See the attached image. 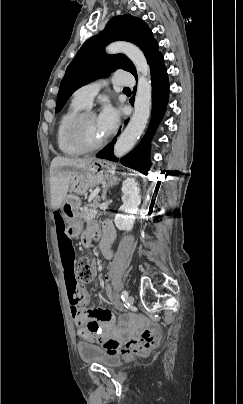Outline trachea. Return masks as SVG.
<instances>
[{
	"mask_svg": "<svg viewBox=\"0 0 243 404\" xmlns=\"http://www.w3.org/2000/svg\"><path fill=\"white\" fill-rule=\"evenodd\" d=\"M125 89H126V90H130V89H128V87H125Z\"/></svg>",
	"mask_w": 243,
	"mask_h": 404,
	"instance_id": "obj_1",
	"label": "trachea"
}]
</instances>
